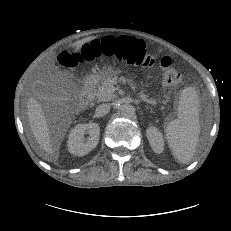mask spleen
Masks as SVG:
<instances>
[{"label": "spleen", "mask_w": 231, "mask_h": 231, "mask_svg": "<svg viewBox=\"0 0 231 231\" xmlns=\"http://www.w3.org/2000/svg\"><path fill=\"white\" fill-rule=\"evenodd\" d=\"M199 100L192 87L180 95L178 118L165 126V136L173 156L181 163H188L194 156L199 140Z\"/></svg>", "instance_id": "3e777b00"}]
</instances>
